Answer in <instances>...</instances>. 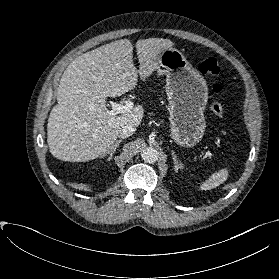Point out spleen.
Instances as JSON below:
<instances>
[{"label": "spleen", "instance_id": "3e777b00", "mask_svg": "<svg viewBox=\"0 0 279 279\" xmlns=\"http://www.w3.org/2000/svg\"><path fill=\"white\" fill-rule=\"evenodd\" d=\"M228 171L226 169L221 170L218 173L213 174L206 182L201 186L203 190H209L215 188L227 180Z\"/></svg>", "mask_w": 279, "mask_h": 279}]
</instances>
